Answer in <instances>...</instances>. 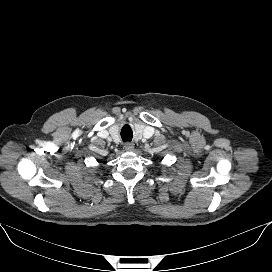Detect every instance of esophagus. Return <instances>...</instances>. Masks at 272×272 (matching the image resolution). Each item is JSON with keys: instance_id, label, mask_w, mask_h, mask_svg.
I'll return each mask as SVG.
<instances>
[{"instance_id": "34e87169", "label": "esophagus", "mask_w": 272, "mask_h": 272, "mask_svg": "<svg viewBox=\"0 0 272 272\" xmlns=\"http://www.w3.org/2000/svg\"><path fill=\"white\" fill-rule=\"evenodd\" d=\"M124 149H125L126 151H132V150L134 149V144L131 143V142H126V143L124 144Z\"/></svg>"}]
</instances>
